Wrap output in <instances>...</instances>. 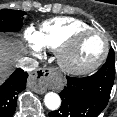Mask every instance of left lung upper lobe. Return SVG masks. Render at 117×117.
Returning a JSON list of instances; mask_svg holds the SVG:
<instances>
[{
  "label": "left lung upper lobe",
  "mask_w": 117,
  "mask_h": 117,
  "mask_svg": "<svg viewBox=\"0 0 117 117\" xmlns=\"http://www.w3.org/2000/svg\"><path fill=\"white\" fill-rule=\"evenodd\" d=\"M103 70H108L114 75L115 72V56H114V50L111 48L109 51L108 58L106 60V63L102 66Z\"/></svg>",
  "instance_id": "5c2ea615"
}]
</instances>
